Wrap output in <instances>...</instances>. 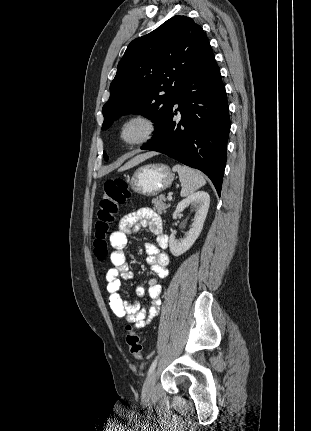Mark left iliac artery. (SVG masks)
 Returning a JSON list of instances; mask_svg holds the SVG:
<instances>
[{
  "label": "left iliac artery",
  "instance_id": "44dca946",
  "mask_svg": "<svg viewBox=\"0 0 311 431\" xmlns=\"http://www.w3.org/2000/svg\"><path fill=\"white\" fill-rule=\"evenodd\" d=\"M156 365H157V358L152 362V364L148 370V376L154 371Z\"/></svg>",
  "mask_w": 311,
  "mask_h": 431
}]
</instances>
